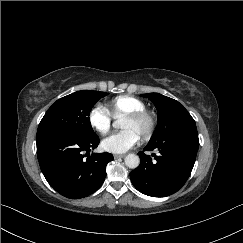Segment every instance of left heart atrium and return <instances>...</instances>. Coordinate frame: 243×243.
Returning <instances> with one entry per match:
<instances>
[{
	"instance_id": "obj_1",
	"label": "left heart atrium",
	"mask_w": 243,
	"mask_h": 243,
	"mask_svg": "<svg viewBox=\"0 0 243 243\" xmlns=\"http://www.w3.org/2000/svg\"><path fill=\"white\" fill-rule=\"evenodd\" d=\"M138 139L139 137L134 131L123 130L105 137L102 141V147L108 152L121 154L133 148Z\"/></svg>"
}]
</instances>
